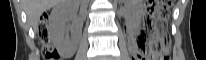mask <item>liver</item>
Returning <instances> with one entry per match:
<instances>
[{
	"label": "liver",
	"mask_w": 206,
	"mask_h": 60,
	"mask_svg": "<svg viewBox=\"0 0 206 60\" xmlns=\"http://www.w3.org/2000/svg\"><path fill=\"white\" fill-rule=\"evenodd\" d=\"M63 0H24V7L27 14L28 22L34 28L38 29L40 16L50 8L59 5Z\"/></svg>",
	"instance_id": "6515ba94"
}]
</instances>
